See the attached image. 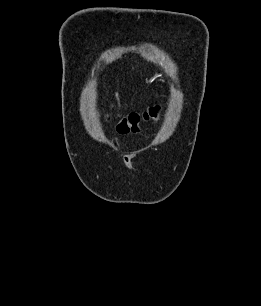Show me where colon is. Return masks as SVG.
I'll use <instances>...</instances> for the list:
<instances>
[{
  "label": "colon",
  "instance_id": "1",
  "mask_svg": "<svg viewBox=\"0 0 261 306\" xmlns=\"http://www.w3.org/2000/svg\"><path fill=\"white\" fill-rule=\"evenodd\" d=\"M159 110L158 106H153L143 113H130L127 115H112L111 113H105V115L108 119L115 120L116 129L119 133L126 134L138 131L139 123L142 120L149 121L157 119Z\"/></svg>",
  "mask_w": 261,
  "mask_h": 306
}]
</instances>
